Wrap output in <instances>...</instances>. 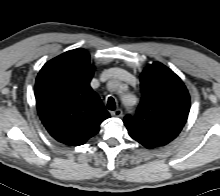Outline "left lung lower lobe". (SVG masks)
<instances>
[{"instance_id": "1", "label": "left lung lower lobe", "mask_w": 220, "mask_h": 196, "mask_svg": "<svg viewBox=\"0 0 220 196\" xmlns=\"http://www.w3.org/2000/svg\"><path fill=\"white\" fill-rule=\"evenodd\" d=\"M133 139H135L136 141L138 140L135 136L133 135H130Z\"/></svg>"}]
</instances>
